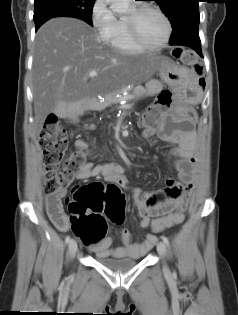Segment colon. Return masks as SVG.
<instances>
[{"label":"colon","instance_id":"1","mask_svg":"<svg viewBox=\"0 0 238 315\" xmlns=\"http://www.w3.org/2000/svg\"><path fill=\"white\" fill-rule=\"evenodd\" d=\"M172 55L183 64L191 67L198 78L199 85L205 86L204 67L197 54L190 49L178 47ZM172 93L161 92L154 104L143 114L141 125L154 126L163 117L171 104ZM40 142L45 145L43 162L45 167L44 191L51 195L69 186L86 160V147L75 150L68 157V138L65 127L56 115L47 116ZM70 224L74 234L85 245L100 242L106 234L107 220L122 224L125 219L126 198L121 188L114 183L91 182L76 186L67 202ZM179 213H171L156 218L151 223L154 232H161L178 224Z\"/></svg>","mask_w":238,"mask_h":315}]
</instances>
